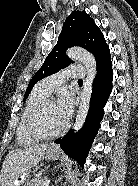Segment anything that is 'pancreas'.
Segmentation results:
<instances>
[{
  "label": "pancreas",
  "mask_w": 138,
  "mask_h": 186,
  "mask_svg": "<svg viewBox=\"0 0 138 186\" xmlns=\"http://www.w3.org/2000/svg\"><path fill=\"white\" fill-rule=\"evenodd\" d=\"M43 182V179H41L40 177H36L30 181L29 186H43Z\"/></svg>",
  "instance_id": "obj_1"
}]
</instances>
